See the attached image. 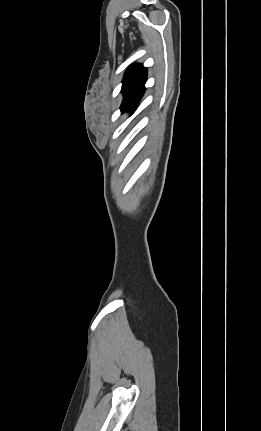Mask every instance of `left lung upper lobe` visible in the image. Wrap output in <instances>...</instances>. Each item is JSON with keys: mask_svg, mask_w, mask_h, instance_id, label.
I'll return each instance as SVG.
<instances>
[{"mask_svg": "<svg viewBox=\"0 0 261 431\" xmlns=\"http://www.w3.org/2000/svg\"><path fill=\"white\" fill-rule=\"evenodd\" d=\"M147 79L146 68L141 64L132 65L125 73L122 81V92L124 99L121 104V112L124 113L129 108L135 97L144 87Z\"/></svg>", "mask_w": 261, "mask_h": 431, "instance_id": "obj_1", "label": "left lung upper lobe"}]
</instances>
